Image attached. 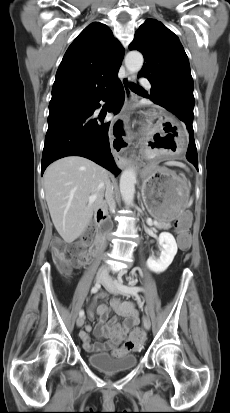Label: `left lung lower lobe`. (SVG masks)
Segmentation results:
<instances>
[{
	"instance_id": "0a47b994",
	"label": "left lung lower lobe",
	"mask_w": 230,
	"mask_h": 413,
	"mask_svg": "<svg viewBox=\"0 0 230 413\" xmlns=\"http://www.w3.org/2000/svg\"><path fill=\"white\" fill-rule=\"evenodd\" d=\"M186 128L189 132V145H188V149H187V153H186V158L198 170L197 149H196V145H195V141H194L192 124L187 123Z\"/></svg>"
}]
</instances>
